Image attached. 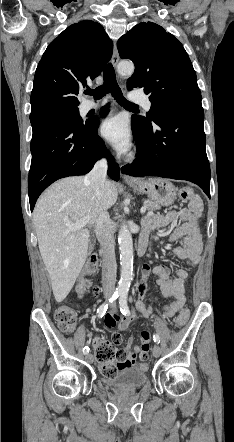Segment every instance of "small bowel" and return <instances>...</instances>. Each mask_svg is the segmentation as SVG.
<instances>
[{
    "label": "small bowel",
    "mask_w": 234,
    "mask_h": 442,
    "mask_svg": "<svg viewBox=\"0 0 234 442\" xmlns=\"http://www.w3.org/2000/svg\"><path fill=\"white\" fill-rule=\"evenodd\" d=\"M203 211V203L201 199L196 198L190 201L188 207L179 211H171L166 215H150L143 221L145 230L144 236L150 240L151 234L159 228L168 225H175V229L169 237V242H181V246L174 249V255L180 261H183L188 266L193 267L197 264L201 250L202 239L199 230V218ZM151 273L157 276V286L161 294L166 298H173V301L164 306V317L170 318L177 314L185 304V285L188 279V272L186 269H179L175 272L174 277L170 276L169 270L165 265H157L151 267L149 263L142 266V278L138 286L140 297L135 303V309L141 312L144 316H152L153 309L148 306L144 300L145 297H151L148 292V282ZM152 299H156L151 297ZM119 320L118 315L110 313L104 316L102 325L104 328L111 329L116 327V322ZM129 321L122 320L119 323V330L124 331L128 328ZM118 329L112 330L113 344L119 345L121 343L122 334ZM151 334L148 331H143L140 334L142 341L141 347L131 349L133 338L127 340L126 346L122 349L127 355L126 367L129 370L135 368L137 362L147 360L150 357ZM102 339L97 338L95 344Z\"/></svg>",
    "instance_id": "small-bowel-1"
}]
</instances>
